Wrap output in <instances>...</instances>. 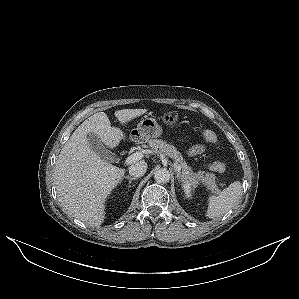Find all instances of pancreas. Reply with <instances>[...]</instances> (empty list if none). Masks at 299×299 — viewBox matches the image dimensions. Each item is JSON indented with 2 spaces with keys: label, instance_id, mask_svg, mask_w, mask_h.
Instances as JSON below:
<instances>
[{
  "label": "pancreas",
  "instance_id": "cf45deb5",
  "mask_svg": "<svg viewBox=\"0 0 299 299\" xmlns=\"http://www.w3.org/2000/svg\"><path fill=\"white\" fill-rule=\"evenodd\" d=\"M149 146L152 149L160 150L167 156L173 158L175 160V165L181 167V174L184 179L191 181L195 185L202 183L211 192H219L215 174L205 171L193 172L192 168L184 161L181 153L173 145L167 144L160 139H151L149 141Z\"/></svg>",
  "mask_w": 299,
  "mask_h": 299
}]
</instances>
